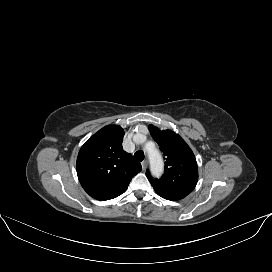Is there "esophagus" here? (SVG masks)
I'll use <instances>...</instances> for the list:
<instances>
[{"mask_svg": "<svg viewBox=\"0 0 272 272\" xmlns=\"http://www.w3.org/2000/svg\"><path fill=\"white\" fill-rule=\"evenodd\" d=\"M141 165H142L143 170H145V169L147 168V166H148V161H147V160H144V161L141 163Z\"/></svg>", "mask_w": 272, "mask_h": 272, "instance_id": "1", "label": "esophagus"}]
</instances>
